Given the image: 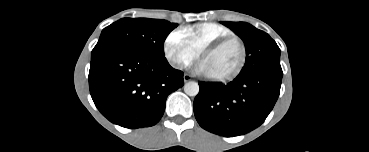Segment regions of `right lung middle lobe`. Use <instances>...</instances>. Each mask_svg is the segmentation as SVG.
I'll return each instance as SVG.
<instances>
[{
    "label": "right lung middle lobe",
    "mask_w": 369,
    "mask_h": 152,
    "mask_svg": "<svg viewBox=\"0 0 369 152\" xmlns=\"http://www.w3.org/2000/svg\"><path fill=\"white\" fill-rule=\"evenodd\" d=\"M178 26L166 20L123 18L104 28L91 58L101 54L127 50L165 58L163 45L168 34Z\"/></svg>",
    "instance_id": "dd1d6c3e"
}]
</instances>
